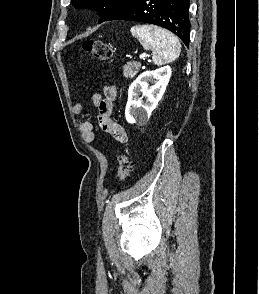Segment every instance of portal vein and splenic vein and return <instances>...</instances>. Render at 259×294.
<instances>
[{"label": "portal vein and splenic vein", "instance_id": "obj_1", "mask_svg": "<svg viewBox=\"0 0 259 294\" xmlns=\"http://www.w3.org/2000/svg\"><path fill=\"white\" fill-rule=\"evenodd\" d=\"M139 57H140V59H145L147 57V55L146 54H141Z\"/></svg>", "mask_w": 259, "mask_h": 294}]
</instances>
